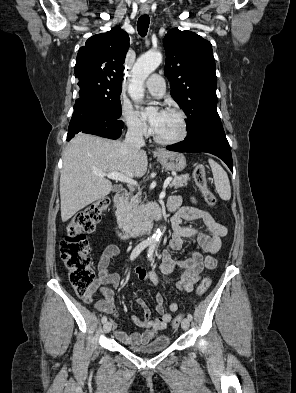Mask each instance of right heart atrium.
<instances>
[{
  "instance_id": "1",
  "label": "right heart atrium",
  "mask_w": 296,
  "mask_h": 393,
  "mask_svg": "<svg viewBox=\"0 0 296 393\" xmlns=\"http://www.w3.org/2000/svg\"><path fill=\"white\" fill-rule=\"evenodd\" d=\"M121 117L128 131L138 137H145L150 129L147 122L129 105L122 104L120 108Z\"/></svg>"
}]
</instances>
